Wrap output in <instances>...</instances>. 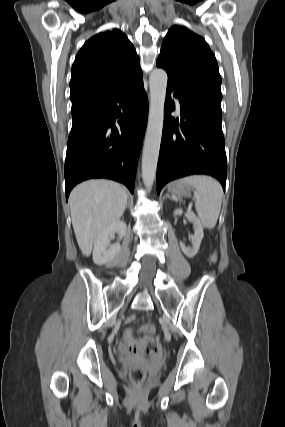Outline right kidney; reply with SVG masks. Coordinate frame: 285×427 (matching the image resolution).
<instances>
[{"instance_id":"ca27d5eb","label":"right kidney","mask_w":285,"mask_h":427,"mask_svg":"<svg viewBox=\"0 0 285 427\" xmlns=\"http://www.w3.org/2000/svg\"><path fill=\"white\" fill-rule=\"evenodd\" d=\"M126 231V223L117 220L108 225L97 235L93 248V261L96 265H106L114 261L121 246L119 242L110 244L109 237L117 233L121 240L126 235Z\"/></svg>"}]
</instances>
